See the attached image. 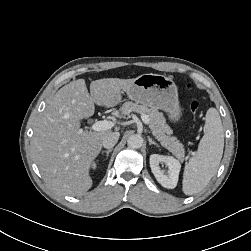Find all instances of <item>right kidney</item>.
<instances>
[{
	"mask_svg": "<svg viewBox=\"0 0 251 251\" xmlns=\"http://www.w3.org/2000/svg\"><path fill=\"white\" fill-rule=\"evenodd\" d=\"M93 168H96V164H93Z\"/></svg>",
	"mask_w": 251,
	"mask_h": 251,
	"instance_id": "right-kidney-1",
	"label": "right kidney"
}]
</instances>
